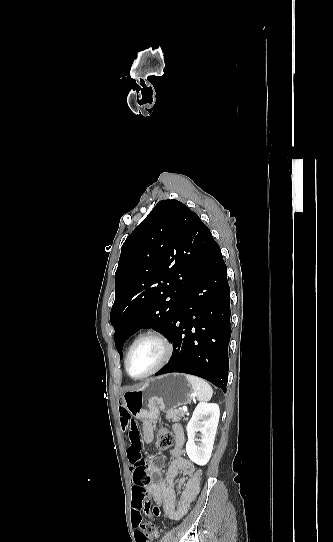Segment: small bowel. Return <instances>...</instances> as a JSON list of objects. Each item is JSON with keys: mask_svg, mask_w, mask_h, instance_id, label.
<instances>
[{"mask_svg": "<svg viewBox=\"0 0 333 542\" xmlns=\"http://www.w3.org/2000/svg\"><path fill=\"white\" fill-rule=\"evenodd\" d=\"M121 418V428L125 437V442L128 443L127 454L132 464L136 460L142 458L141 437L138 435L137 425L134 423L135 418L129 414L124 407L119 408ZM175 435V445L171 450L172 460L168 466L166 476L160 482H152L146 490L154 498L157 505L162 507L166 516L172 520L181 519L196 501L200 492L202 472L196 465L184 456L185 436L180 425L173 427ZM154 439V426L149 420H144L143 423V441L151 443ZM163 458L161 455L158 457ZM151 469L156 474H160V468H157L154 463H151ZM181 473V477L175 482L176 476ZM180 492V497L177 500V493ZM131 529L139 530L141 523L137 521L138 512L133 502Z\"/></svg>", "mask_w": 333, "mask_h": 542, "instance_id": "obj_1", "label": "small bowel"}]
</instances>
